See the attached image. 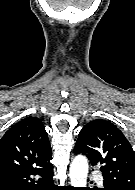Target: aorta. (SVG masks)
I'll return each instance as SVG.
<instances>
[{"mask_svg":"<svg viewBox=\"0 0 135 190\" xmlns=\"http://www.w3.org/2000/svg\"><path fill=\"white\" fill-rule=\"evenodd\" d=\"M88 175V161L86 157L78 155L70 165V179L73 187H86Z\"/></svg>","mask_w":135,"mask_h":190,"instance_id":"aorta-1","label":"aorta"}]
</instances>
